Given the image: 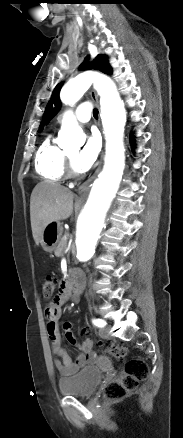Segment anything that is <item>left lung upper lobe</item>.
Listing matches in <instances>:
<instances>
[{"label":"left lung upper lobe","instance_id":"5c2ea615","mask_svg":"<svg viewBox=\"0 0 183 438\" xmlns=\"http://www.w3.org/2000/svg\"><path fill=\"white\" fill-rule=\"evenodd\" d=\"M89 57H87L85 59V61L82 63V65L80 66L81 69H97L100 70L106 74H111L112 73V69L108 64L107 61V57L105 55H98L94 61L90 64L87 65ZM62 85L58 84L55 89L53 90V97L51 98V100L48 102V105L46 107L44 116H43V121L42 124L40 126V131L43 130V124H48L49 121L57 114V112L60 109V99H59V92L61 89Z\"/></svg>","mask_w":183,"mask_h":438}]
</instances>
